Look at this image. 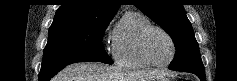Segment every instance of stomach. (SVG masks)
Returning a JSON list of instances; mask_svg holds the SVG:
<instances>
[{
    "label": "stomach",
    "instance_id": "obj_1",
    "mask_svg": "<svg viewBox=\"0 0 237 81\" xmlns=\"http://www.w3.org/2000/svg\"><path fill=\"white\" fill-rule=\"evenodd\" d=\"M152 81H170V79L168 77L163 76V77H159V78L152 80Z\"/></svg>",
    "mask_w": 237,
    "mask_h": 81
}]
</instances>
